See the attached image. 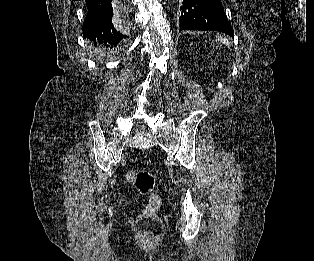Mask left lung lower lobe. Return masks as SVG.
Instances as JSON below:
<instances>
[{"label": "left lung lower lobe", "mask_w": 314, "mask_h": 261, "mask_svg": "<svg viewBox=\"0 0 314 261\" xmlns=\"http://www.w3.org/2000/svg\"><path fill=\"white\" fill-rule=\"evenodd\" d=\"M182 30H212L234 36L220 0H183L179 18Z\"/></svg>", "instance_id": "0a47b994"}]
</instances>
